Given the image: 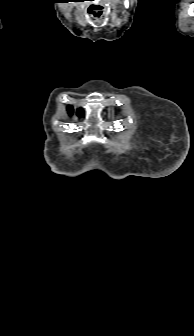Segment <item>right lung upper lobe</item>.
I'll return each instance as SVG.
<instances>
[{
	"instance_id": "1",
	"label": "right lung upper lobe",
	"mask_w": 194,
	"mask_h": 336,
	"mask_svg": "<svg viewBox=\"0 0 194 336\" xmlns=\"http://www.w3.org/2000/svg\"><path fill=\"white\" fill-rule=\"evenodd\" d=\"M69 113H70V114L73 113V109H70V108H69ZM81 114H82V110L79 109V110H78V115H81Z\"/></svg>"
}]
</instances>
